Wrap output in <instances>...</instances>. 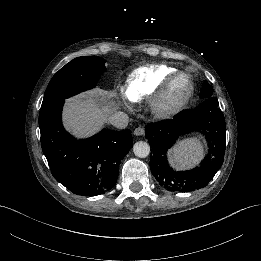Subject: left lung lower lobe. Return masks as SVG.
Listing matches in <instances>:
<instances>
[{"instance_id": "left-lung-lower-lobe-1", "label": "left lung lower lobe", "mask_w": 261, "mask_h": 261, "mask_svg": "<svg viewBox=\"0 0 261 261\" xmlns=\"http://www.w3.org/2000/svg\"><path fill=\"white\" fill-rule=\"evenodd\" d=\"M193 131L205 134L209 154L194 169L174 170L167 162L166 153L180 135ZM145 133L153 149L150 156L152 174L168 191L190 192L204 188L223 164L226 124L215 97L204 98L198 107L182 111L173 119L149 123Z\"/></svg>"}]
</instances>
